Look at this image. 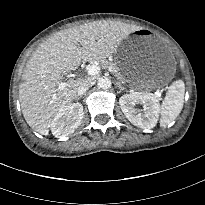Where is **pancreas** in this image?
Listing matches in <instances>:
<instances>
[{"instance_id": "cf45deb5", "label": "pancreas", "mask_w": 205, "mask_h": 205, "mask_svg": "<svg viewBox=\"0 0 205 205\" xmlns=\"http://www.w3.org/2000/svg\"><path fill=\"white\" fill-rule=\"evenodd\" d=\"M99 62L101 63V65L103 67L109 68L111 72H113L114 74L120 76L119 68H118L117 64H115L114 62H109L105 59H100Z\"/></svg>"}]
</instances>
